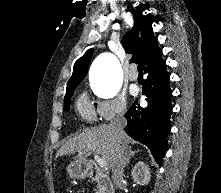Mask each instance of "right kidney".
<instances>
[{"mask_svg":"<svg viewBox=\"0 0 221 193\" xmlns=\"http://www.w3.org/2000/svg\"><path fill=\"white\" fill-rule=\"evenodd\" d=\"M131 175L137 184L142 186L147 185L151 177L149 166L143 161H140L132 168Z\"/></svg>","mask_w":221,"mask_h":193,"instance_id":"right-kidney-1","label":"right kidney"}]
</instances>
